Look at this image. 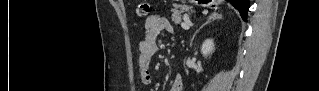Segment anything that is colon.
Wrapping results in <instances>:
<instances>
[{
  "mask_svg": "<svg viewBox=\"0 0 319 91\" xmlns=\"http://www.w3.org/2000/svg\"><path fill=\"white\" fill-rule=\"evenodd\" d=\"M150 12L149 2L143 1L140 2L137 6V15L139 17H146Z\"/></svg>",
  "mask_w": 319,
  "mask_h": 91,
  "instance_id": "1",
  "label": "colon"
}]
</instances>
